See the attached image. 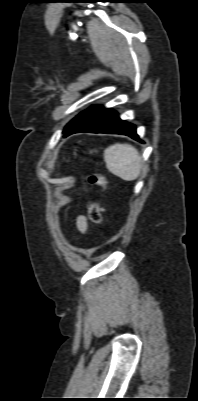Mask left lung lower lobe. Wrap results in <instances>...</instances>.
<instances>
[{"label": "left lung lower lobe", "instance_id": "0a47b994", "mask_svg": "<svg viewBox=\"0 0 198 401\" xmlns=\"http://www.w3.org/2000/svg\"><path fill=\"white\" fill-rule=\"evenodd\" d=\"M79 132L123 134L142 142L133 124L121 120L116 112L103 106H93L81 113L65 132V137Z\"/></svg>", "mask_w": 198, "mask_h": 401}]
</instances>
